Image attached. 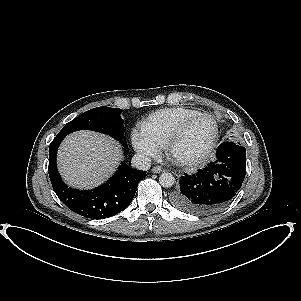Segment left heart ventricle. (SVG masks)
<instances>
[{"instance_id":"left-heart-ventricle-1","label":"left heart ventricle","mask_w":301,"mask_h":301,"mask_svg":"<svg viewBox=\"0 0 301 301\" xmlns=\"http://www.w3.org/2000/svg\"><path fill=\"white\" fill-rule=\"evenodd\" d=\"M213 131L214 126L211 120L200 118L194 121L175 144L174 157L179 160L197 157L209 144Z\"/></svg>"}]
</instances>
